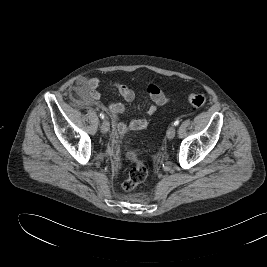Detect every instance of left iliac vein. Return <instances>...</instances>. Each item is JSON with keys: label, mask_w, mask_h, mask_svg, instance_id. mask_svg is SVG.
<instances>
[{"label": "left iliac vein", "mask_w": 267, "mask_h": 267, "mask_svg": "<svg viewBox=\"0 0 267 267\" xmlns=\"http://www.w3.org/2000/svg\"><path fill=\"white\" fill-rule=\"evenodd\" d=\"M176 133V128L174 125L170 126L167 130L168 139H173Z\"/></svg>", "instance_id": "4c4485c4"}]
</instances>
